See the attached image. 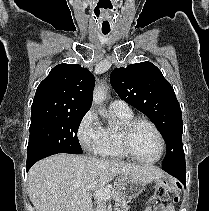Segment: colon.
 <instances>
[{
    "label": "colon",
    "mask_w": 209,
    "mask_h": 211,
    "mask_svg": "<svg viewBox=\"0 0 209 211\" xmlns=\"http://www.w3.org/2000/svg\"><path fill=\"white\" fill-rule=\"evenodd\" d=\"M168 191H169L168 186H163L156 192V196L163 197L164 195L167 194ZM176 191H177L176 189L170 191L172 192L173 200L175 202L178 200V195Z\"/></svg>",
    "instance_id": "1"
}]
</instances>
